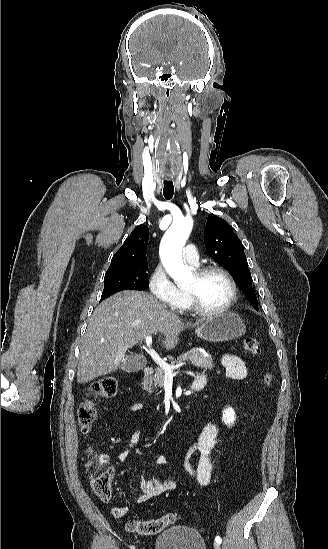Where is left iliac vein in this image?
<instances>
[{"mask_svg": "<svg viewBox=\"0 0 328 549\" xmlns=\"http://www.w3.org/2000/svg\"><path fill=\"white\" fill-rule=\"evenodd\" d=\"M213 547L214 549H221L220 545L217 542L213 544Z\"/></svg>", "mask_w": 328, "mask_h": 549, "instance_id": "1", "label": "left iliac vein"}]
</instances>
